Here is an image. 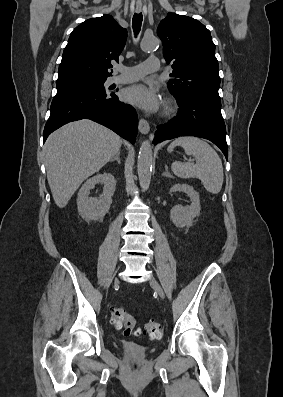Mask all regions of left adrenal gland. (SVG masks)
<instances>
[{"mask_svg": "<svg viewBox=\"0 0 283 397\" xmlns=\"http://www.w3.org/2000/svg\"><path fill=\"white\" fill-rule=\"evenodd\" d=\"M162 176L168 177V178H174L170 172L168 171V166L165 165V172L162 174Z\"/></svg>", "mask_w": 283, "mask_h": 397, "instance_id": "left-adrenal-gland-1", "label": "left adrenal gland"}]
</instances>
